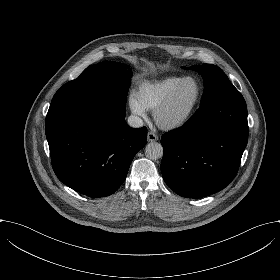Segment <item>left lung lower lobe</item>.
<instances>
[{
  "mask_svg": "<svg viewBox=\"0 0 280 280\" xmlns=\"http://www.w3.org/2000/svg\"><path fill=\"white\" fill-rule=\"evenodd\" d=\"M248 133L247 106L240 92L201 106L181 128L162 135L164 181L186 198L224 189L238 171Z\"/></svg>",
  "mask_w": 280,
  "mask_h": 280,
  "instance_id": "0a47b994",
  "label": "left lung lower lobe"
}]
</instances>
